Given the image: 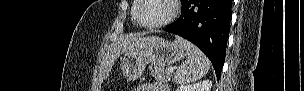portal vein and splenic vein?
<instances>
[{
    "instance_id": "18ae733b",
    "label": "portal vein and splenic vein",
    "mask_w": 304,
    "mask_h": 91,
    "mask_svg": "<svg viewBox=\"0 0 304 91\" xmlns=\"http://www.w3.org/2000/svg\"><path fill=\"white\" fill-rule=\"evenodd\" d=\"M168 71L169 72H173V68H168Z\"/></svg>"
}]
</instances>
